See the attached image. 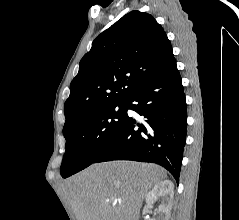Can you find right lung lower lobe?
<instances>
[{
	"label": "right lung lower lobe",
	"instance_id": "right-lung-lower-lobe-1",
	"mask_svg": "<svg viewBox=\"0 0 239 220\" xmlns=\"http://www.w3.org/2000/svg\"><path fill=\"white\" fill-rule=\"evenodd\" d=\"M125 107L143 116H126L120 130L94 163L135 160L157 163L179 182L187 132L186 100L181 77L172 61L138 88Z\"/></svg>",
	"mask_w": 239,
	"mask_h": 220
}]
</instances>
